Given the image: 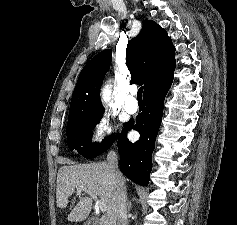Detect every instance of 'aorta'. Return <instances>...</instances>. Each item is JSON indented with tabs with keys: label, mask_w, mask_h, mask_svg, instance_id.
Masks as SVG:
<instances>
[{
	"label": "aorta",
	"mask_w": 237,
	"mask_h": 225,
	"mask_svg": "<svg viewBox=\"0 0 237 225\" xmlns=\"http://www.w3.org/2000/svg\"><path fill=\"white\" fill-rule=\"evenodd\" d=\"M102 100L104 103L108 102L110 100V96H111V85L110 84H106L104 86V88L102 89Z\"/></svg>",
	"instance_id": "762f6f07"
}]
</instances>
